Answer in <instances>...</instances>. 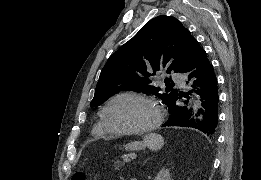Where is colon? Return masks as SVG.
<instances>
[{
    "mask_svg": "<svg viewBox=\"0 0 261 180\" xmlns=\"http://www.w3.org/2000/svg\"><path fill=\"white\" fill-rule=\"evenodd\" d=\"M86 174L82 172H76L73 175V180H86Z\"/></svg>",
    "mask_w": 261,
    "mask_h": 180,
    "instance_id": "1",
    "label": "colon"
}]
</instances>
